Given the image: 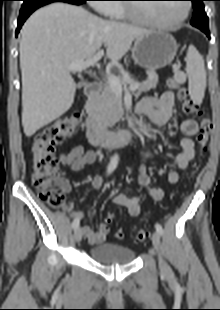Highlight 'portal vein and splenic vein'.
I'll return each mask as SVG.
<instances>
[{"instance_id": "obj_1", "label": "portal vein and splenic vein", "mask_w": 220, "mask_h": 310, "mask_svg": "<svg viewBox=\"0 0 220 310\" xmlns=\"http://www.w3.org/2000/svg\"><path fill=\"white\" fill-rule=\"evenodd\" d=\"M104 55V51L103 50H99L93 57L87 59L86 61H76V62H72L70 63L68 69L72 72H81L84 69H87L88 67H90L91 65L96 64L101 57ZM107 81L108 84L110 86V88L117 94L121 95L122 94V84L119 80V78H117L114 75H110L107 77ZM139 87L138 83H130L129 85V90L130 91H136Z\"/></svg>"}]
</instances>
